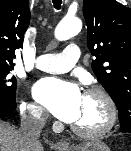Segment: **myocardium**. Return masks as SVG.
Segmentation results:
<instances>
[{
  "label": "myocardium",
  "mask_w": 131,
  "mask_h": 151,
  "mask_svg": "<svg viewBox=\"0 0 131 151\" xmlns=\"http://www.w3.org/2000/svg\"><path fill=\"white\" fill-rule=\"evenodd\" d=\"M85 95L95 96L103 101L107 110L106 122L102 126L95 129H84L72 124L71 130L76 135L84 138H96L109 133L114 128L118 119V110L114 99L106 90L100 87H91L87 89Z\"/></svg>",
  "instance_id": "f54148a6"
}]
</instances>
